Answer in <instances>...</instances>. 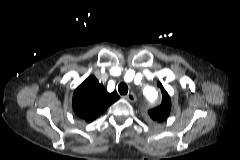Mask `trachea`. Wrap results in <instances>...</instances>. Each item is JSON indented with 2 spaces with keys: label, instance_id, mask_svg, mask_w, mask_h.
I'll use <instances>...</instances> for the list:
<instances>
[{
  "label": "trachea",
  "instance_id": "obj_1",
  "mask_svg": "<svg viewBox=\"0 0 240 160\" xmlns=\"http://www.w3.org/2000/svg\"><path fill=\"white\" fill-rule=\"evenodd\" d=\"M118 91L121 95H126L128 93V86L125 83H120L118 85Z\"/></svg>",
  "mask_w": 240,
  "mask_h": 160
}]
</instances>
